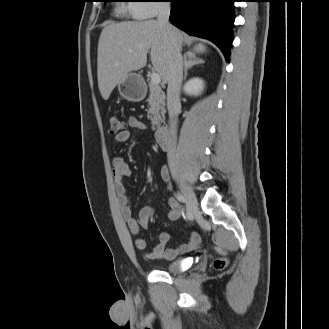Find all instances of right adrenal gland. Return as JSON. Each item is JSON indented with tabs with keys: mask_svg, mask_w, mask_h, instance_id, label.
<instances>
[{
	"mask_svg": "<svg viewBox=\"0 0 329 329\" xmlns=\"http://www.w3.org/2000/svg\"><path fill=\"white\" fill-rule=\"evenodd\" d=\"M204 60L197 58L195 56L184 55V80L187 78V72L193 66L198 64H203Z\"/></svg>",
	"mask_w": 329,
	"mask_h": 329,
	"instance_id": "1",
	"label": "right adrenal gland"
}]
</instances>
